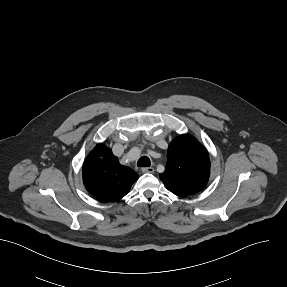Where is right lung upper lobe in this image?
<instances>
[{
	"label": "right lung upper lobe",
	"mask_w": 287,
	"mask_h": 287,
	"mask_svg": "<svg viewBox=\"0 0 287 287\" xmlns=\"http://www.w3.org/2000/svg\"><path fill=\"white\" fill-rule=\"evenodd\" d=\"M137 179V173L121 165L104 144L97 145L83 164L85 187L100 201L115 202L122 199Z\"/></svg>",
	"instance_id": "cb5924a9"
}]
</instances>
